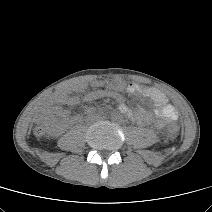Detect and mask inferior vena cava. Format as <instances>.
Returning <instances> with one entry per match:
<instances>
[{"instance_id": "obj_1", "label": "inferior vena cava", "mask_w": 212, "mask_h": 212, "mask_svg": "<svg viewBox=\"0 0 212 212\" xmlns=\"http://www.w3.org/2000/svg\"><path fill=\"white\" fill-rule=\"evenodd\" d=\"M90 121L94 122V123H99L100 122V117L98 116V114L93 113L90 116Z\"/></svg>"}]
</instances>
